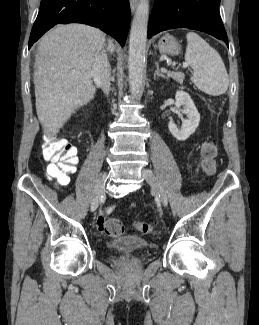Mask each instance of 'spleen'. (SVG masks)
I'll use <instances>...</instances> for the list:
<instances>
[{"label": "spleen", "mask_w": 259, "mask_h": 325, "mask_svg": "<svg viewBox=\"0 0 259 325\" xmlns=\"http://www.w3.org/2000/svg\"><path fill=\"white\" fill-rule=\"evenodd\" d=\"M186 38L185 61L193 68L191 81L206 94H224L229 78L219 53L194 32L187 33Z\"/></svg>", "instance_id": "3e777b00"}]
</instances>
